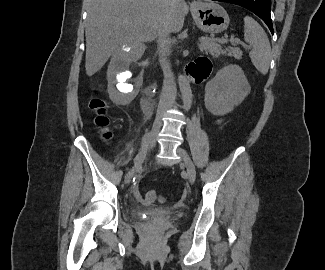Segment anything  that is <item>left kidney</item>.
I'll return each mask as SVG.
<instances>
[{
	"mask_svg": "<svg viewBox=\"0 0 325 270\" xmlns=\"http://www.w3.org/2000/svg\"><path fill=\"white\" fill-rule=\"evenodd\" d=\"M251 87L238 65L219 70L205 87V106L213 115H226L242 103Z\"/></svg>",
	"mask_w": 325,
	"mask_h": 270,
	"instance_id": "5707ae66",
	"label": "left kidney"
}]
</instances>
